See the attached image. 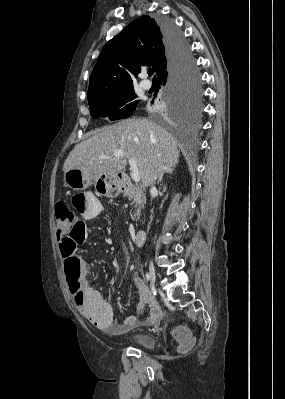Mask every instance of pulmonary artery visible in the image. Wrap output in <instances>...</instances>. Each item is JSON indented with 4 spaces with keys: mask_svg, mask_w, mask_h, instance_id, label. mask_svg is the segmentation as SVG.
<instances>
[{
    "mask_svg": "<svg viewBox=\"0 0 285 399\" xmlns=\"http://www.w3.org/2000/svg\"><path fill=\"white\" fill-rule=\"evenodd\" d=\"M140 86H141L142 89L148 90L151 87V82L149 80H147V79H143L140 82Z\"/></svg>",
    "mask_w": 285,
    "mask_h": 399,
    "instance_id": "pulmonary-artery-1",
    "label": "pulmonary artery"
}]
</instances>
